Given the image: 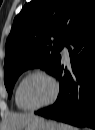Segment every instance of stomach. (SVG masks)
I'll list each match as a JSON object with an SVG mask.
<instances>
[{"label": "stomach", "mask_w": 95, "mask_h": 130, "mask_svg": "<svg viewBox=\"0 0 95 130\" xmlns=\"http://www.w3.org/2000/svg\"><path fill=\"white\" fill-rule=\"evenodd\" d=\"M22 130H60L57 122L46 120L44 118H37L29 122Z\"/></svg>", "instance_id": "1"}]
</instances>
